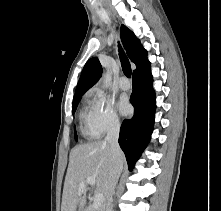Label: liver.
Here are the masks:
<instances>
[{
	"label": "liver",
	"mask_w": 221,
	"mask_h": 211,
	"mask_svg": "<svg viewBox=\"0 0 221 211\" xmlns=\"http://www.w3.org/2000/svg\"><path fill=\"white\" fill-rule=\"evenodd\" d=\"M113 167L111 147L105 141L90 142L73 148L64 182L61 211H83L87 191L90 189L85 186L80 190L79 186L90 176L95 178V193H102L106 197Z\"/></svg>",
	"instance_id": "1"
}]
</instances>
